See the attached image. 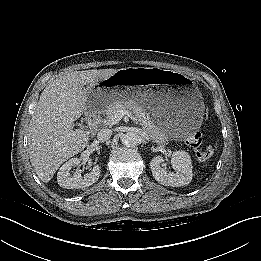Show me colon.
Listing matches in <instances>:
<instances>
[{"label": "colon", "instance_id": "1", "mask_svg": "<svg viewBox=\"0 0 261 261\" xmlns=\"http://www.w3.org/2000/svg\"><path fill=\"white\" fill-rule=\"evenodd\" d=\"M188 145L193 149L195 157L199 161H205L211 158L214 154L212 146H207L202 149V136L199 132L194 133L188 139Z\"/></svg>", "mask_w": 261, "mask_h": 261}]
</instances>
